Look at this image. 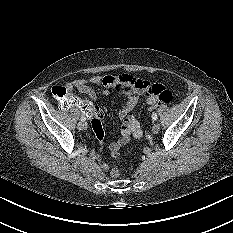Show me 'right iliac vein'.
I'll return each mask as SVG.
<instances>
[{
  "instance_id": "obj_1",
  "label": "right iliac vein",
  "mask_w": 233,
  "mask_h": 233,
  "mask_svg": "<svg viewBox=\"0 0 233 233\" xmlns=\"http://www.w3.org/2000/svg\"><path fill=\"white\" fill-rule=\"evenodd\" d=\"M77 128L79 130H85L86 129V123L84 121H80L77 125Z\"/></svg>"
}]
</instances>
